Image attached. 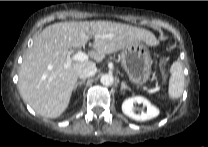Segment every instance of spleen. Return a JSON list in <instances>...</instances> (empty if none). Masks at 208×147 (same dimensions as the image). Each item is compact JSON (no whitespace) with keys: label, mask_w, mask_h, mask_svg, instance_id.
Wrapping results in <instances>:
<instances>
[{"label":"spleen","mask_w":208,"mask_h":147,"mask_svg":"<svg viewBox=\"0 0 208 147\" xmlns=\"http://www.w3.org/2000/svg\"><path fill=\"white\" fill-rule=\"evenodd\" d=\"M170 73L169 96L173 99H177L181 97L184 90V75L180 62L176 61L171 65Z\"/></svg>","instance_id":"spleen-1"}]
</instances>
